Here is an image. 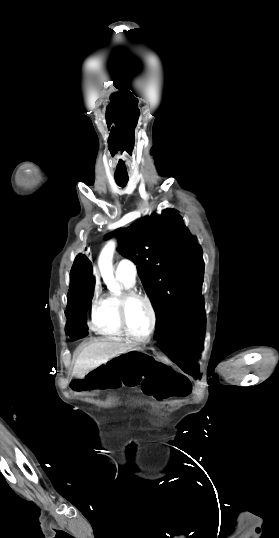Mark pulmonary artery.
<instances>
[{"mask_svg":"<svg viewBox=\"0 0 279 538\" xmlns=\"http://www.w3.org/2000/svg\"><path fill=\"white\" fill-rule=\"evenodd\" d=\"M115 273L124 277L129 283H134L137 276L135 265L128 259H121L115 264Z\"/></svg>","mask_w":279,"mask_h":538,"instance_id":"e3ab8cb5","label":"pulmonary artery"}]
</instances>
